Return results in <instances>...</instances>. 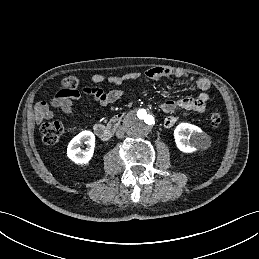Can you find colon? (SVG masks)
<instances>
[{
    "mask_svg": "<svg viewBox=\"0 0 259 259\" xmlns=\"http://www.w3.org/2000/svg\"><path fill=\"white\" fill-rule=\"evenodd\" d=\"M78 79L75 76H68L62 81V89L60 90L64 95H68L77 90ZM210 124L213 127L220 125L222 118L217 112H213L210 115ZM63 125L58 121H49L41 125L40 131L42 140L48 145L55 144L63 133Z\"/></svg>",
    "mask_w": 259,
    "mask_h": 259,
    "instance_id": "1",
    "label": "colon"
}]
</instances>
